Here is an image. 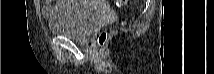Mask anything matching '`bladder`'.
I'll list each match as a JSON object with an SVG mask.
<instances>
[{
	"mask_svg": "<svg viewBox=\"0 0 214 74\" xmlns=\"http://www.w3.org/2000/svg\"><path fill=\"white\" fill-rule=\"evenodd\" d=\"M71 5L57 8L49 20L53 35L85 41L97 27L100 12L90 1H70Z\"/></svg>",
	"mask_w": 214,
	"mask_h": 74,
	"instance_id": "1",
	"label": "bladder"
}]
</instances>
